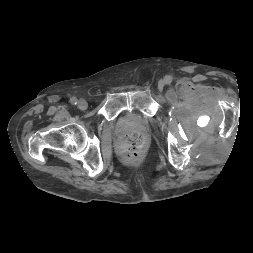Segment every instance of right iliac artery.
Masks as SVG:
<instances>
[{
  "label": "right iliac artery",
  "instance_id": "1",
  "mask_svg": "<svg viewBox=\"0 0 253 253\" xmlns=\"http://www.w3.org/2000/svg\"><path fill=\"white\" fill-rule=\"evenodd\" d=\"M70 103H71L72 105H76V104L78 103L77 98H76V97H72V98L70 99Z\"/></svg>",
  "mask_w": 253,
  "mask_h": 253
}]
</instances>
